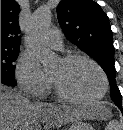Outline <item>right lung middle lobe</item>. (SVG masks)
I'll return each mask as SVG.
<instances>
[{
  "instance_id": "1",
  "label": "right lung middle lobe",
  "mask_w": 123,
  "mask_h": 130,
  "mask_svg": "<svg viewBox=\"0 0 123 130\" xmlns=\"http://www.w3.org/2000/svg\"><path fill=\"white\" fill-rule=\"evenodd\" d=\"M19 49L7 50L1 49V80L8 81L14 85V65L13 62L18 56Z\"/></svg>"
}]
</instances>
